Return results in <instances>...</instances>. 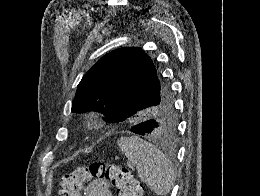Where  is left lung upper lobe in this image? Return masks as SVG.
<instances>
[{
	"instance_id": "1",
	"label": "left lung upper lobe",
	"mask_w": 260,
	"mask_h": 196,
	"mask_svg": "<svg viewBox=\"0 0 260 196\" xmlns=\"http://www.w3.org/2000/svg\"><path fill=\"white\" fill-rule=\"evenodd\" d=\"M135 109L126 120L130 127L152 120L150 135L167 145L179 137L178 117L169 85L158 65L136 47L116 49L102 57L83 76L72 103V112Z\"/></svg>"
}]
</instances>
